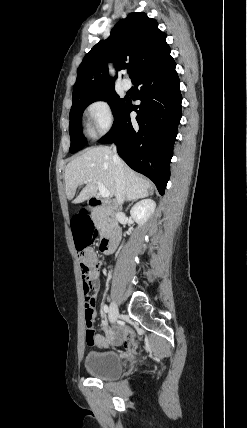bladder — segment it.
Listing matches in <instances>:
<instances>
[{"mask_svg":"<svg viewBox=\"0 0 247 428\" xmlns=\"http://www.w3.org/2000/svg\"><path fill=\"white\" fill-rule=\"evenodd\" d=\"M88 374L100 379H114L121 375L123 362L114 351H91L85 358Z\"/></svg>","mask_w":247,"mask_h":428,"instance_id":"bladder-1","label":"bladder"}]
</instances>
